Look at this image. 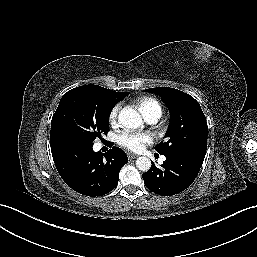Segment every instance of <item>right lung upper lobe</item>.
Returning <instances> with one entry per match:
<instances>
[{"instance_id":"right-lung-upper-lobe-1","label":"right lung upper lobe","mask_w":257,"mask_h":257,"mask_svg":"<svg viewBox=\"0 0 257 257\" xmlns=\"http://www.w3.org/2000/svg\"><path fill=\"white\" fill-rule=\"evenodd\" d=\"M112 92L114 93V95L116 96V98L119 101L122 100L124 97H126L129 94L128 92H115V91H112Z\"/></svg>"}]
</instances>
